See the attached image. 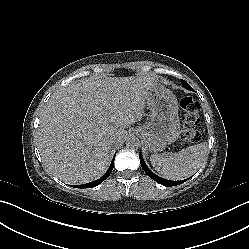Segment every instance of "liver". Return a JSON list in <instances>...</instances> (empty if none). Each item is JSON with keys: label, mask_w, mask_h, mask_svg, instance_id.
<instances>
[{"label": "liver", "mask_w": 249, "mask_h": 249, "mask_svg": "<svg viewBox=\"0 0 249 249\" xmlns=\"http://www.w3.org/2000/svg\"><path fill=\"white\" fill-rule=\"evenodd\" d=\"M152 84L148 78L92 79L61 90L40 118L37 146L44 165L72 173L79 184L100 178L125 127L141 120Z\"/></svg>", "instance_id": "liver-1"}]
</instances>
